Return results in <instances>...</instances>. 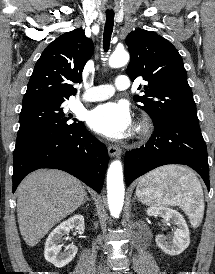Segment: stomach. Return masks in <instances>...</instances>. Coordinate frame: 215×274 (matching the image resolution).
<instances>
[{"label":"stomach","mask_w":215,"mask_h":274,"mask_svg":"<svg viewBox=\"0 0 215 274\" xmlns=\"http://www.w3.org/2000/svg\"><path fill=\"white\" fill-rule=\"evenodd\" d=\"M137 194V196H138V198H139V200L140 201H142L143 203H146V204H148L146 201H145V196H140L138 193H136Z\"/></svg>","instance_id":"stomach-1"}]
</instances>
